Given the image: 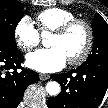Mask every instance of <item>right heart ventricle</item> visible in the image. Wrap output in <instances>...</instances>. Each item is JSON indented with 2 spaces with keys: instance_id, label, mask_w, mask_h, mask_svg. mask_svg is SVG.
<instances>
[{
  "instance_id": "e07e8e85",
  "label": "right heart ventricle",
  "mask_w": 108,
  "mask_h": 108,
  "mask_svg": "<svg viewBox=\"0 0 108 108\" xmlns=\"http://www.w3.org/2000/svg\"><path fill=\"white\" fill-rule=\"evenodd\" d=\"M75 18L76 15L73 12L63 8L54 7L41 11L37 15L36 20L41 31L47 32L54 31L61 25Z\"/></svg>"
}]
</instances>
